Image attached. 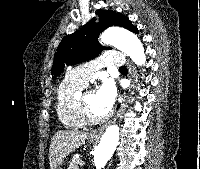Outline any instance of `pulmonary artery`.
I'll return each instance as SVG.
<instances>
[{"label":"pulmonary artery","instance_id":"pulmonary-artery-1","mask_svg":"<svg viewBox=\"0 0 200 169\" xmlns=\"http://www.w3.org/2000/svg\"><path fill=\"white\" fill-rule=\"evenodd\" d=\"M124 59L119 51H111L95 60L80 64L68 73V76L84 85L87 84L93 73L103 66H122Z\"/></svg>","mask_w":200,"mask_h":169}]
</instances>
